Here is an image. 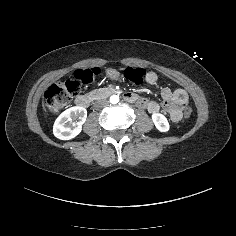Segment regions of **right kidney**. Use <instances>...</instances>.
<instances>
[{"label":"right kidney","instance_id":"right-kidney-1","mask_svg":"<svg viewBox=\"0 0 236 236\" xmlns=\"http://www.w3.org/2000/svg\"><path fill=\"white\" fill-rule=\"evenodd\" d=\"M87 118V110L80 106L71 107L62 112L55 120L53 134L61 140H69L77 136Z\"/></svg>","mask_w":236,"mask_h":236}]
</instances>
